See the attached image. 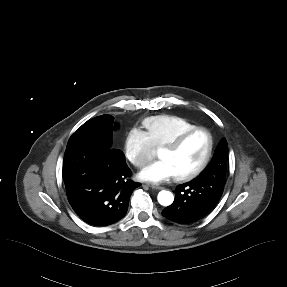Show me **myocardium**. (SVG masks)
Instances as JSON below:
<instances>
[{
    "label": "myocardium",
    "mask_w": 287,
    "mask_h": 287,
    "mask_svg": "<svg viewBox=\"0 0 287 287\" xmlns=\"http://www.w3.org/2000/svg\"><path fill=\"white\" fill-rule=\"evenodd\" d=\"M198 132L205 133L207 138H208V147H207V151L205 153V156H204L203 160L201 161V163L196 168H194L193 170H191L190 172H188L186 174L175 176V180H177V181L192 180V179L196 178L197 176H199L206 169V167L208 166V164L211 160L213 150H214L213 135H212L211 131L205 127H194L192 129L182 133L176 139H174V140L170 141L169 143L165 144L164 146H162V149H165L168 151H177L185 144V142L190 137H192L194 134H196Z\"/></svg>",
    "instance_id": "f54148a6"
}]
</instances>
